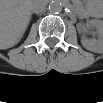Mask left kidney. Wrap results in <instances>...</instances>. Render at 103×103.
Masks as SVG:
<instances>
[{
    "instance_id": "obj_1",
    "label": "left kidney",
    "mask_w": 103,
    "mask_h": 103,
    "mask_svg": "<svg viewBox=\"0 0 103 103\" xmlns=\"http://www.w3.org/2000/svg\"><path fill=\"white\" fill-rule=\"evenodd\" d=\"M90 27L96 28L98 32L97 39L81 38L82 46L92 52H101L103 50V22L101 20L93 19L87 24Z\"/></svg>"
}]
</instances>
